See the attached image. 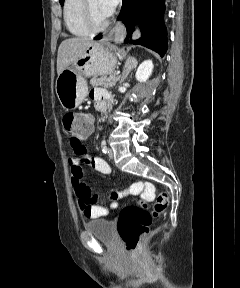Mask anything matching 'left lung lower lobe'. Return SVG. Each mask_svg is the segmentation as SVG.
<instances>
[{
  "instance_id": "0a47b994",
  "label": "left lung lower lobe",
  "mask_w": 240,
  "mask_h": 288,
  "mask_svg": "<svg viewBox=\"0 0 240 288\" xmlns=\"http://www.w3.org/2000/svg\"><path fill=\"white\" fill-rule=\"evenodd\" d=\"M164 11L165 0H123L118 19L125 24L127 35L133 31L135 16L139 18L142 31L139 40L130 41L127 36L125 42L143 45L164 56L168 48ZM100 38L101 35L95 37V39Z\"/></svg>"
}]
</instances>
